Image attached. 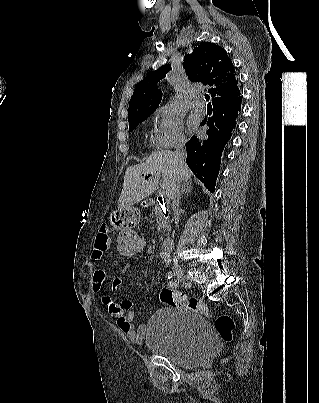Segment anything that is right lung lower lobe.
I'll use <instances>...</instances> for the list:
<instances>
[{
	"instance_id": "98d812e1",
	"label": "right lung lower lobe",
	"mask_w": 319,
	"mask_h": 403,
	"mask_svg": "<svg viewBox=\"0 0 319 403\" xmlns=\"http://www.w3.org/2000/svg\"><path fill=\"white\" fill-rule=\"evenodd\" d=\"M213 109L212 117L201 123L209 127L208 137L198 140L194 135L186 143V161L189 168L211 192L215 191L223 148L231 137V131L236 125L235 119L241 109L240 91L231 97L216 101L213 103Z\"/></svg>"
}]
</instances>
